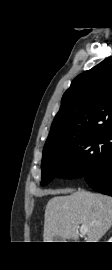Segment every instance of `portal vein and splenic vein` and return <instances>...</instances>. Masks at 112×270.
<instances>
[{
    "instance_id": "18ae733b",
    "label": "portal vein and splenic vein",
    "mask_w": 112,
    "mask_h": 270,
    "mask_svg": "<svg viewBox=\"0 0 112 270\" xmlns=\"http://www.w3.org/2000/svg\"><path fill=\"white\" fill-rule=\"evenodd\" d=\"M87 225L86 224H82L81 227H80V232L82 234H86L87 233Z\"/></svg>"
}]
</instances>
